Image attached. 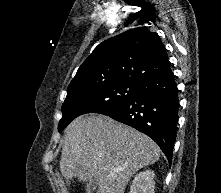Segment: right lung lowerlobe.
Wrapping results in <instances>:
<instances>
[{
    "label": "right lung lower lobe",
    "instance_id": "98d812e1",
    "mask_svg": "<svg viewBox=\"0 0 221 193\" xmlns=\"http://www.w3.org/2000/svg\"><path fill=\"white\" fill-rule=\"evenodd\" d=\"M179 98L173 73L144 81L140 91L120 105L102 111L116 121L151 137L172 162L176 140Z\"/></svg>",
    "mask_w": 221,
    "mask_h": 193
}]
</instances>
